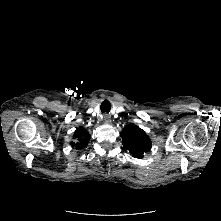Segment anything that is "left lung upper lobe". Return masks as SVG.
I'll list each match as a JSON object with an SVG mask.
<instances>
[{"instance_id":"left-lung-upper-lobe-1","label":"left lung upper lobe","mask_w":221,"mask_h":221,"mask_svg":"<svg viewBox=\"0 0 221 221\" xmlns=\"http://www.w3.org/2000/svg\"><path fill=\"white\" fill-rule=\"evenodd\" d=\"M122 144L133 157L142 158L151 149V141L147 134L135 124H128L120 134Z\"/></svg>"}]
</instances>
